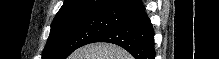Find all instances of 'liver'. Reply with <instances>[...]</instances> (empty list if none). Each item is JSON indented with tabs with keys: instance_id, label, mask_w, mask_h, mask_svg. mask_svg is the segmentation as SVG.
Segmentation results:
<instances>
[{
	"instance_id": "liver-1",
	"label": "liver",
	"mask_w": 219,
	"mask_h": 59,
	"mask_svg": "<svg viewBox=\"0 0 219 59\" xmlns=\"http://www.w3.org/2000/svg\"><path fill=\"white\" fill-rule=\"evenodd\" d=\"M68 59H133L119 46L109 43H94L74 51Z\"/></svg>"
}]
</instances>
